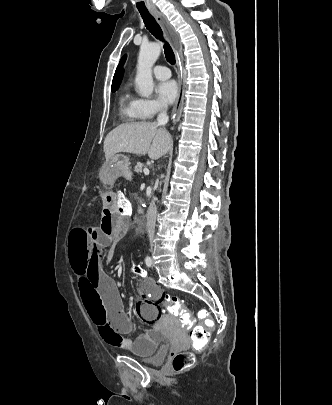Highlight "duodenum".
I'll list each match as a JSON object with an SVG mask.
<instances>
[{
  "label": "duodenum",
  "instance_id": "410a0bca",
  "mask_svg": "<svg viewBox=\"0 0 332 405\" xmlns=\"http://www.w3.org/2000/svg\"><path fill=\"white\" fill-rule=\"evenodd\" d=\"M120 219H121V220H125V219H124L123 217H121V216H120Z\"/></svg>",
  "mask_w": 332,
  "mask_h": 405
}]
</instances>
